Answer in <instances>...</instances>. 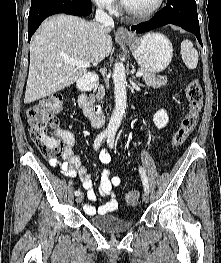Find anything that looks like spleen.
Returning a JSON list of instances; mask_svg holds the SVG:
<instances>
[{
    "label": "spleen",
    "mask_w": 221,
    "mask_h": 263,
    "mask_svg": "<svg viewBox=\"0 0 221 263\" xmlns=\"http://www.w3.org/2000/svg\"><path fill=\"white\" fill-rule=\"evenodd\" d=\"M182 60L188 69H195L198 64V51L190 40L181 43Z\"/></svg>",
    "instance_id": "obj_1"
}]
</instances>
